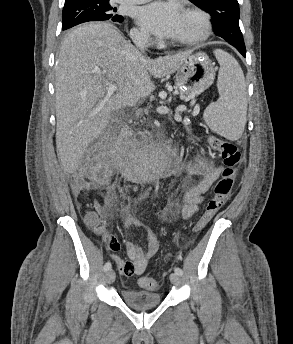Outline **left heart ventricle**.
I'll return each instance as SVG.
<instances>
[{
    "instance_id": "left-heart-ventricle-1",
    "label": "left heart ventricle",
    "mask_w": 293,
    "mask_h": 344,
    "mask_svg": "<svg viewBox=\"0 0 293 344\" xmlns=\"http://www.w3.org/2000/svg\"><path fill=\"white\" fill-rule=\"evenodd\" d=\"M199 31V21L192 15L182 14L181 24L171 37L173 41H179L195 36Z\"/></svg>"
}]
</instances>
